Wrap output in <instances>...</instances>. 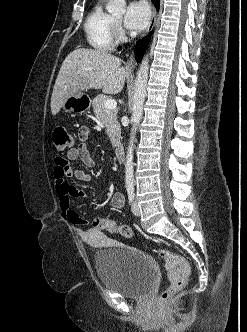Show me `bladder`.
Instances as JSON below:
<instances>
[{
  "label": "bladder",
  "mask_w": 247,
  "mask_h": 332,
  "mask_svg": "<svg viewBox=\"0 0 247 332\" xmlns=\"http://www.w3.org/2000/svg\"><path fill=\"white\" fill-rule=\"evenodd\" d=\"M95 268L103 287L130 299L144 297L156 279L153 258L122 243L97 251Z\"/></svg>",
  "instance_id": "31cf9c89"
}]
</instances>
